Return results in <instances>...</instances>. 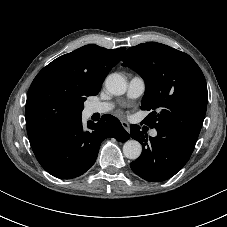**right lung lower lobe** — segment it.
<instances>
[{
  "label": "right lung lower lobe",
  "mask_w": 227,
  "mask_h": 227,
  "mask_svg": "<svg viewBox=\"0 0 227 227\" xmlns=\"http://www.w3.org/2000/svg\"><path fill=\"white\" fill-rule=\"evenodd\" d=\"M87 127L83 128L80 119L53 136L34 153L40 165L57 178H75L95 163L104 139L129 138L120 121L109 114L103 115L98 123L89 121Z\"/></svg>",
  "instance_id": "obj_1"
}]
</instances>
